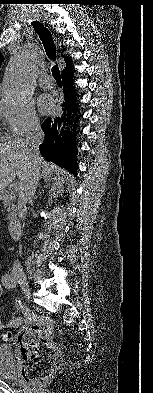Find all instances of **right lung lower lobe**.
Wrapping results in <instances>:
<instances>
[{
  "mask_svg": "<svg viewBox=\"0 0 153 393\" xmlns=\"http://www.w3.org/2000/svg\"><path fill=\"white\" fill-rule=\"evenodd\" d=\"M73 68L62 72L64 101L61 105L63 114L60 117L48 118L42 125L45 133L44 142L39 146L42 155L47 159L68 168L76 173V140L79 121L78 101L72 82Z\"/></svg>",
  "mask_w": 153,
  "mask_h": 393,
  "instance_id": "obj_1",
  "label": "right lung lower lobe"
}]
</instances>
